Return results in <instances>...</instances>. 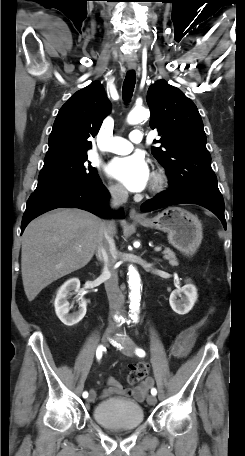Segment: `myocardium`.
<instances>
[{
    "label": "myocardium",
    "mask_w": 245,
    "mask_h": 456,
    "mask_svg": "<svg viewBox=\"0 0 245 456\" xmlns=\"http://www.w3.org/2000/svg\"><path fill=\"white\" fill-rule=\"evenodd\" d=\"M168 178L163 170L157 169L152 173L150 190L152 192H160L167 185Z\"/></svg>",
    "instance_id": "obj_1"
}]
</instances>
